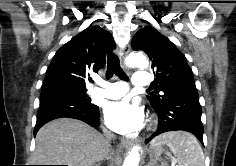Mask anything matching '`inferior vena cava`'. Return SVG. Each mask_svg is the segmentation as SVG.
Segmentation results:
<instances>
[{
    "label": "inferior vena cava",
    "mask_w": 236,
    "mask_h": 166,
    "mask_svg": "<svg viewBox=\"0 0 236 166\" xmlns=\"http://www.w3.org/2000/svg\"><path fill=\"white\" fill-rule=\"evenodd\" d=\"M104 137H105V141H106L107 147L110 148L111 142H112V140H114V135H112L110 133H105Z\"/></svg>",
    "instance_id": "602c4592"
}]
</instances>
